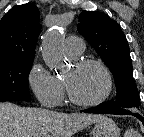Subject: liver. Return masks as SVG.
<instances>
[{
	"label": "liver",
	"mask_w": 144,
	"mask_h": 137,
	"mask_svg": "<svg viewBox=\"0 0 144 137\" xmlns=\"http://www.w3.org/2000/svg\"><path fill=\"white\" fill-rule=\"evenodd\" d=\"M102 115L61 113L0 103V137H72L96 123Z\"/></svg>",
	"instance_id": "obj_1"
}]
</instances>
